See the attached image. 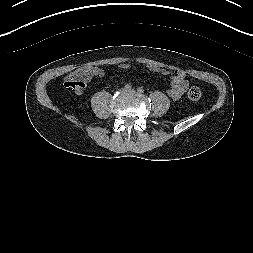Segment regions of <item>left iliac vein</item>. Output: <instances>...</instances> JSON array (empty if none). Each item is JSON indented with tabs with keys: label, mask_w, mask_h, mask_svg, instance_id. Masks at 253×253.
<instances>
[{
	"label": "left iliac vein",
	"mask_w": 253,
	"mask_h": 253,
	"mask_svg": "<svg viewBox=\"0 0 253 253\" xmlns=\"http://www.w3.org/2000/svg\"><path fill=\"white\" fill-rule=\"evenodd\" d=\"M127 92L131 93V94H135L136 91L134 89H129V90H126Z\"/></svg>",
	"instance_id": "4c4485c4"
}]
</instances>
